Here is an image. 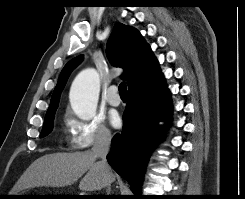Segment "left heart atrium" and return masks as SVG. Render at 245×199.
<instances>
[{
    "instance_id": "39dd6f15",
    "label": "left heart atrium",
    "mask_w": 245,
    "mask_h": 199,
    "mask_svg": "<svg viewBox=\"0 0 245 199\" xmlns=\"http://www.w3.org/2000/svg\"><path fill=\"white\" fill-rule=\"evenodd\" d=\"M109 119L113 127H118L121 123V119L117 113H112Z\"/></svg>"
}]
</instances>
